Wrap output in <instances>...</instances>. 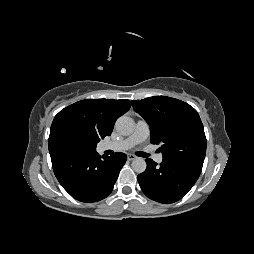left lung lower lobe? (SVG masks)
Masks as SVG:
<instances>
[{"mask_svg": "<svg viewBox=\"0 0 254 254\" xmlns=\"http://www.w3.org/2000/svg\"><path fill=\"white\" fill-rule=\"evenodd\" d=\"M147 169L137 176L144 194L157 202L169 204L184 197L193 187L202 167L183 162L162 161L160 166L146 159Z\"/></svg>", "mask_w": 254, "mask_h": 254, "instance_id": "0a47b994", "label": "left lung lower lobe"}]
</instances>
